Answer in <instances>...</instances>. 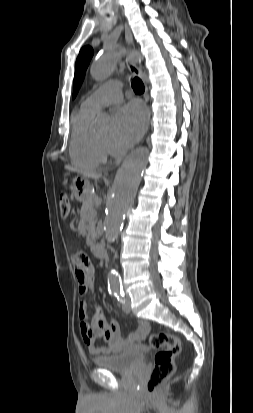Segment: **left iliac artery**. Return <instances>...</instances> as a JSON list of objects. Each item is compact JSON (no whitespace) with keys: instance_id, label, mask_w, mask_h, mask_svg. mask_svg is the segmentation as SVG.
I'll list each match as a JSON object with an SVG mask.
<instances>
[{"instance_id":"obj_1","label":"left iliac artery","mask_w":253,"mask_h":413,"mask_svg":"<svg viewBox=\"0 0 253 413\" xmlns=\"http://www.w3.org/2000/svg\"><path fill=\"white\" fill-rule=\"evenodd\" d=\"M114 296L117 298V300L119 301V302H121V303H125V300H124V293H123V291L121 290V291H117V293L116 294H114Z\"/></svg>"}]
</instances>
